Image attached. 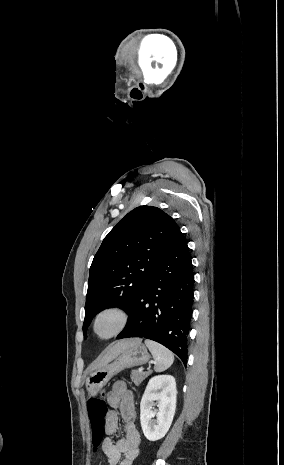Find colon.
Masks as SVG:
<instances>
[{
    "label": "colon",
    "mask_w": 284,
    "mask_h": 465,
    "mask_svg": "<svg viewBox=\"0 0 284 465\" xmlns=\"http://www.w3.org/2000/svg\"><path fill=\"white\" fill-rule=\"evenodd\" d=\"M104 393H102L103 395ZM87 410L89 412V436L94 438L93 446L95 448H100L102 446V441L99 438H105L106 431L109 428V423L107 420L106 413V403L103 399L97 397H90L88 401Z\"/></svg>",
    "instance_id": "colon-1"
}]
</instances>
